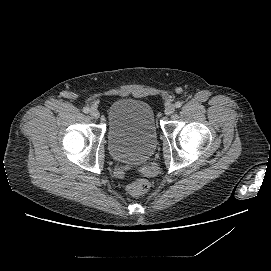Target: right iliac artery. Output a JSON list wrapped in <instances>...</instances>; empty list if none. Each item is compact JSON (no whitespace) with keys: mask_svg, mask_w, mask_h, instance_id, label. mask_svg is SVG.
Masks as SVG:
<instances>
[{"mask_svg":"<svg viewBox=\"0 0 271 271\" xmlns=\"http://www.w3.org/2000/svg\"><path fill=\"white\" fill-rule=\"evenodd\" d=\"M89 111H90L89 107H84V108H83V112H84V113H89Z\"/></svg>","mask_w":271,"mask_h":271,"instance_id":"right-iliac-artery-1","label":"right iliac artery"}]
</instances>
